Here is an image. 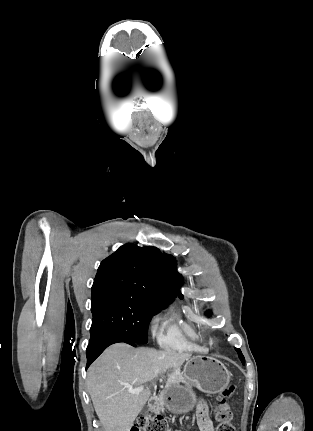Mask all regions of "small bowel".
Segmentation results:
<instances>
[{
	"instance_id": "1",
	"label": "small bowel",
	"mask_w": 313,
	"mask_h": 431,
	"mask_svg": "<svg viewBox=\"0 0 313 431\" xmlns=\"http://www.w3.org/2000/svg\"><path fill=\"white\" fill-rule=\"evenodd\" d=\"M197 416L201 431H214L213 423L208 413V406L204 400H200L198 404Z\"/></svg>"
}]
</instances>
